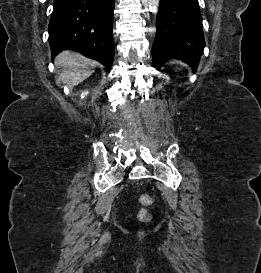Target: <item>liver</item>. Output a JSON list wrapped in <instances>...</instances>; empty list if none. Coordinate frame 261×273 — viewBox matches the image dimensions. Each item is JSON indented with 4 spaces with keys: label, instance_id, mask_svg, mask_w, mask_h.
<instances>
[{
    "label": "liver",
    "instance_id": "obj_1",
    "mask_svg": "<svg viewBox=\"0 0 261 273\" xmlns=\"http://www.w3.org/2000/svg\"><path fill=\"white\" fill-rule=\"evenodd\" d=\"M55 64L63 68L60 79L63 83L74 87L90 77L95 63L75 52H62L55 59Z\"/></svg>",
    "mask_w": 261,
    "mask_h": 273
}]
</instances>
